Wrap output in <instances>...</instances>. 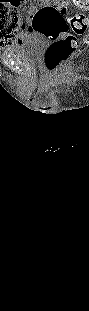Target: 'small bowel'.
Wrapping results in <instances>:
<instances>
[{
	"instance_id": "c3829d8e",
	"label": "small bowel",
	"mask_w": 89,
	"mask_h": 311,
	"mask_svg": "<svg viewBox=\"0 0 89 311\" xmlns=\"http://www.w3.org/2000/svg\"><path fill=\"white\" fill-rule=\"evenodd\" d=\"M5 36V34H4ZM28 36V32L25 31L23 24L10 33L7 37H10L12 42H22Z\"/></svg>"
}]
</instances>
